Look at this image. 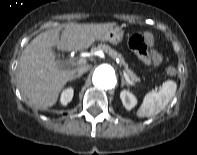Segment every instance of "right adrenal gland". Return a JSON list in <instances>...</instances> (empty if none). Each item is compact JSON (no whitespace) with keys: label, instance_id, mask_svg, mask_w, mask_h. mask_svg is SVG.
Listing matches in <instances>:
<instances>
[{"label":"right adrenal gland","instance_id":"right-adrenal-gland-1","mask_svg":"<svg viewBox=\"0 0 197 155\" xmlns=\"http://www.w3.org/2000/svg\"><path fill=\"white\" fill-rule=\"evenodd\" d=\"M82 75H75L70 81L80 78Z\"/></svg>","mask_w":197,"mask_h":155}]
</instances>
